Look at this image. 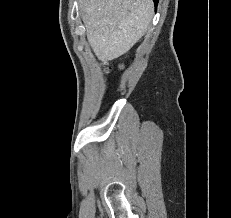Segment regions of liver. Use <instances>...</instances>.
I'll list each match as a JSON object with an SVG mask.
<instances>
[{"instance_id":"6515ba94","label":"liver","mask_w":231,"mask_h":218,"mask_svg":"<svg viewBox=\"0 0 231 218\" xmlns=\"http://www.w3.org/2000/svg\"><path fill=\"white\" fill-rule=\"evenodd\" d=\"M86 35L101 61L128 52L145 34L154 13L152 0H79Z\"/></svg>"}]
</instances>
